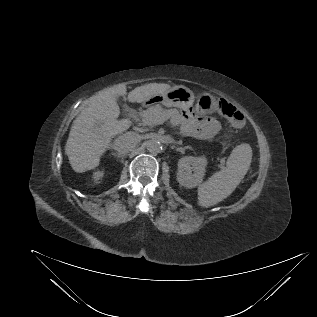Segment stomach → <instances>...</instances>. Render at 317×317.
Listing matches in <instances>:
<instances>
[{
    "label": "stomach",
    "mask_w": 317,
    "mask_h": 317,
    "mask_svg": "<svg viewBox=\"0 0 317 317\" xmlns=\"http://www.w3.org/2000/svg\"><path fill=\"white\" fill-rule=\"evenodd\" d=\"M195 101L194 93L185 86H173L163 95H156L147 104H161L165 107L188 109ZM198 108L203 113H213L217 107L216 98L209 93H202L198 97Z\"/></svg>",
    "instance_id": "0dacf381"
}]
</instances>
